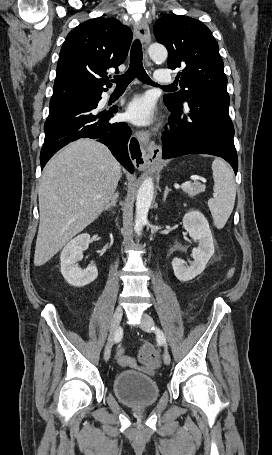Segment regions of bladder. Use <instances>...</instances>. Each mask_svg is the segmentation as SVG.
Listing matches in <instances>:
<instances>
[{
    "mask_svg": "<svg viewBox=\"0 0 272 455\" xmlns=\"http://www.w3.org/2000/svg\"><path fill=\"white\" fill-rule=\"evenodd\" d=\"M112 388L115 396L131 407L152 405L160 394L159 386L153 377L135 370L116 375Z\"/></svg>",
    "mask_w": 272,
    "mask_h": 455,
    "instance_id": "31cf9c89",
    "label": "bladder"
}]
</instances>
